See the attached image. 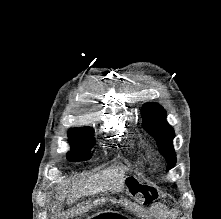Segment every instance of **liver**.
Masks as SVG:
<instances>
[{"label":"liver","instance_id":"6515ba94","mask_svg":"<svg viewBox=\"0 0 221 219\" xmlns=\"http://www.w3.org/2000/svg\"><path fill=\"white\" fill-rule=\"evenodd\" d=\"M126 167L108 168L102 172L88 176L72 185L71 194L68 196L71 202L82 196L94 195L110 191H121L124 186Z\"/></svg>","mask_w":221,"mask_h":219}]
</instances>
